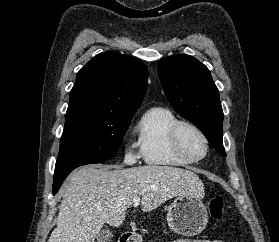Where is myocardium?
I'll return each instance as SVG.
<instances>
[{
	"instance_id": "f54148a6",
	"label": "myocardium",
	"mask_w": 279,
	"mask_h": 242,
	"mask_svg": "<svg viewBox=\"0 0 279 242\" xmlns=\"http://www.w3.org/2000/svg\"><path fill=\"white\" fill-rule=\"evenodd\" d=\"M184 129H190L194 131L202 139L205 146L202 156L194 157L185 150L182 142V131ZM170 141L176 154L190 163H196L203 160L207 156L210 148L208 137L204 131L199 126L190 121H177L171 128Z\"/></svg>"
}]
</instances>
